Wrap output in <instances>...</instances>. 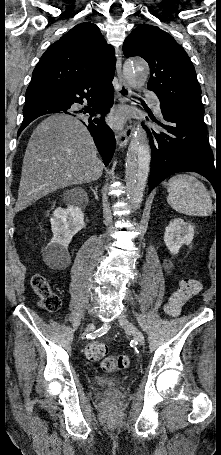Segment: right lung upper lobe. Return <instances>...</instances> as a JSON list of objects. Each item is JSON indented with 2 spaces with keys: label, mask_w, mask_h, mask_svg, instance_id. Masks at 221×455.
Segmentation results:
<instances>
[{
  "label": "right lung upper lobe",
  "mask_w": 221,
  "mask_h": 455,
  "mask_svg": "<svg viewBox=\"0 0 221 455\" xmlns=\"http://www.w3.org/2000/svg\"><path fill=\"white\" fill-rule=\"evenodd\" d=\"M114 49L99 28L90 22L77 24L42 55L26 91V102L50 96L64 86L98 73L113 77Z\"/></svg>",
  "instance_id": "cb5924a9"
}]
</instances>
